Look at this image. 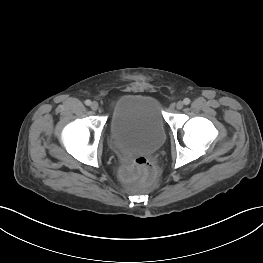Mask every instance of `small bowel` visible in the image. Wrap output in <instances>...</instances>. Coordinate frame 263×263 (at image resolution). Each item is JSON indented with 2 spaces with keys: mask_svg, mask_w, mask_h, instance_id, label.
Wrapping results in <instances>:
<instances>
[{
  "mask_svg": "<svg viewBox=\"0 0 263 263\" xmlns=\"http://www.w3.org/2000/svg\"><path fill=\"white\" fill-rule=\"evenodd\" d=\"M123 176H124L125 178H129V177L131 176V174L129 173V168L126 169V170L123 172Z\"/></svg>",
  "mask_w": 263,
  "mask_h": 263,
  "instance_id": "1",
  "label": "small bowel"
}]
</instances>
